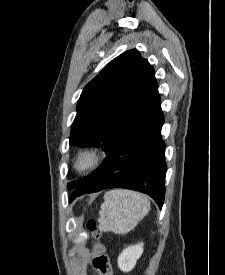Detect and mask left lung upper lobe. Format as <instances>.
Listing matches in <instances>:
<instances>
[{
	"mask_svg": "<svg viewBox=\"0 0 225 275\" xmlns=\"http://www.w3.org/2000/svg\"><path fill=\"white\" fill-rule=\"evenodd\" d=\"M159 97L155 71L136 49L109 62L83 89L70 145L101 147L108 154ZM80 180L68 184L76 188Z\"/></svg>",
	"mask_w": 225,
	"mask_h": 275,
	"instance_id": "1",
	"label": "left lung upper lobe"
}]
</instances>
